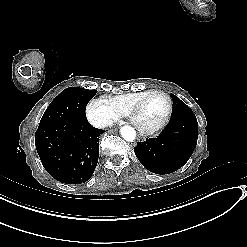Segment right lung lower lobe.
I'll list each match as a JSON object with an SVG mask.
<instances>
[{
	"label": "right lung lower lobe",
	"mask_w": 247,
	"mask_h": 247,
	"mask_svg": "<svg viewBox=\"0 0 247 247\" xmlns=\"http://www.w3.org/2000/svg\"><path fill=\"white\" fill-rule=\"evenodd\" d=\"M102 132L87 120H61L39 125L35 144L45 170L57 181L67 184L89 180L98 162Z\"/></svg>",
	"instance_id": "98d812e1"
}]
</instances>
